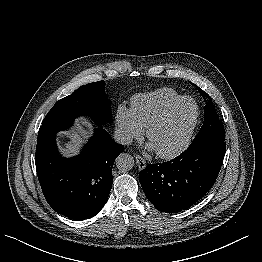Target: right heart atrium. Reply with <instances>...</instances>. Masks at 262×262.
<instances>
[{"mask_svg":"<svg viewBox=\"0 0 262 262\" xmlns=\"http://www.w3.org/2000/svg\"><path fill=\"white\" fill-rule=\"evenodd\" d=\"M116 134L123 144L142 137L144 129L138 124L130 109L120 105L115 117Z\"/></svg>","mask_w":262,"mask_h":262,"instance_id":"obj_1","label":"right heart atrium"}]
</instances>
